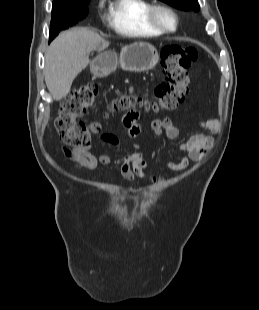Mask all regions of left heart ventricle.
<instances>
[{
	"label": "left heart ventricle",
	"mask_w": 259,
	"mask_h": 310,
	"mask_svg": "<svg viewBox=\"0 0 259 310\" xmlns=\"http://www.w3.org/2000/svg\"><path fill=\"white\" fill-rule=\"evenodd\" d=\"M159 19L165 26L167 27L173 26V20L170 15L162 12L159 14Z\"/></svg>",
	"instance_id": "obj_1"
}]
</instances>
